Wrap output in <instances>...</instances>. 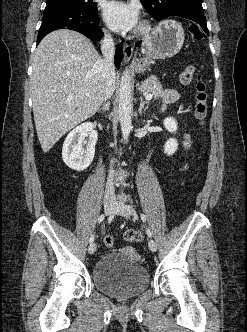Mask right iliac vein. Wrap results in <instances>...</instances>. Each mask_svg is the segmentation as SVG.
<instances>
[{
    "label": "right iliac vein",
    "instance_id": "63e3f726",
    "mask_svg": "<svg viewBox=\"0 0 247 332\" xmlns=\"http://www.w3.org/2000/svg\"><path fill=\"white\" fill-rule=\"evenodd\" d=\"M114 210V202L112 200L104 201V211L106 215H110ZM96 250V244L92 243L88 248V253L93 254Z\"/></svg>",
    "mask_w": 247,
    "mask_h": 332
}]
</instances>
